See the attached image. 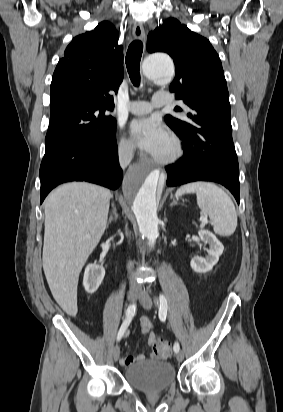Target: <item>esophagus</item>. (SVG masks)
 Wrapping results in <instances>:
<instances>
[{
  "instance_id": "obj_1",
  "label": "esophagus",
  "mask_w": 283,
  "mask_h": 412,
  "mask_svg": "<svg viewBox=\"0 0 283 412\" xmlns=\"http://www.w3.org/2000/svg\"><path fill=\"white\" fill-rule=\"evenodd\" d=\"M132 33L135 39L140 40V41L144 40L145 32H144V28L142 24H139V23L135 24L133 27Z\"/></svg>"
}]
</instances>
